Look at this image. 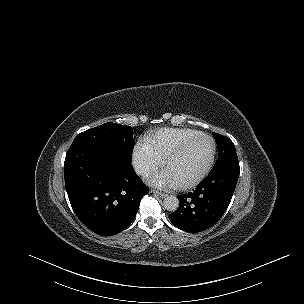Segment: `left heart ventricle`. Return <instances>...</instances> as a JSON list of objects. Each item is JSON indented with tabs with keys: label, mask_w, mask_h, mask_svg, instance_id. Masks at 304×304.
<instances>
[{
	"label": "left heart ventricle",
	"mask_w": 304,
	"mask_h": 304,
	"mask_svg": "<svg viewBox=\"0 0 304 304\" xmlns=\"http://www.w3.org/2000/svg\"><path fill=\"white\" fill-rule=\"evenodd\" d=\"M212 152V143L202 139L187 148L168 166L167 173L177 183L194 179L207 164Z\"/></svg>",
	"instance_id": "obj_1"
}]
</instances>
